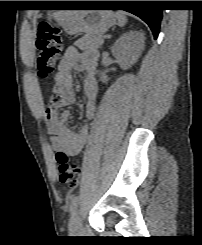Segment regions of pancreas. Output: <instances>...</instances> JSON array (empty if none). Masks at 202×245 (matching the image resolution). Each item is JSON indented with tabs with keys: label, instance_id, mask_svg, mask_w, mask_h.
<instances>
[{
	"label": "pancreas",
	"instance_id": "obj_1",
	"mask_svg": "<svg viewBox=\"0 0 202 245\" xmlns=\"http://www.w3.org/2000/svg\"><path fill=\"white\" fill-rule=\"evenodd\" d=\"M75 45L81 50H92L98 49L102 43L100 42L99 36L85 35L75 42Z\"/></svg>",
	"mask_w": 202,
	"mask_h": 245
}]
</instances>
